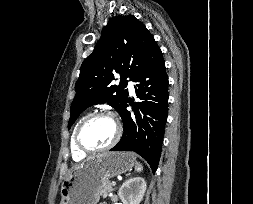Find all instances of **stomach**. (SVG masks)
<instances>
[{"instance_id":"obj_1","label":"stomach","mask_w":253,"mask_h":204,"mask_svg":"<svg viewBox=\"0 0 253 204\" xmlns=\"http://www.w3.org/2000/svg\"><path fill=\"white\" fill-rule=\"evenodd\" d=\"M134 164L135 156L125 152H106L88 158L74 167L62 183L60 204H97L99 188Z\"/></svg>"}]
</instances>
